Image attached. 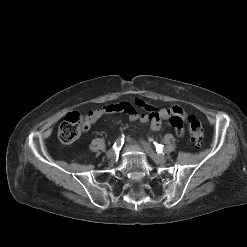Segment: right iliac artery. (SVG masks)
<instances>
[{"mask_svg":"<svg viewBox=\"0 0 247 247\" xmlns=\"http://www.w3.org/2000/svg\"><path fill=\"white\" fill-rule=\"evenodd\" d=\"M123 144H124V136H123V137H119V138L116 140V142H115L114 145H113V148H114L115 150H119V149H121V147L123 146Z\"/></svg>","mask_w":247,"mask_h":247,"instance_id":"1","label":"right iliac artery"}]
</instances>
